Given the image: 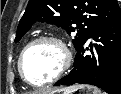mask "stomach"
<instances>
[{
	"label": "stomach",
	"instance_id": "obj_1",
	"mask_svg": "<svg viewBox=\"0 0 121 94\" xmlns=\"http://www.w3.org/2000/svg\"><path fill=\"white\" fill-rule=\"evenodd\" d=\"M49 94H101L100 90L95 87L85 85H74L68 88H63Z\"/></svg>",
	"mask_w": 121,
	"mask_h": 94
}]
</instances>
